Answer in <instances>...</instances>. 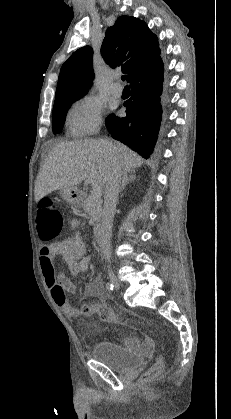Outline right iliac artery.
<instances>
[{
	"label": "right iliac artery",
	"instance_id": "1",
	"mask_svg": "<svg viewBox=\"0 0 231 419\" xmlns=\"http://www.w3.org/2000/svg\"><path fill=\"white\" fill-rule=\"evenodd\" d=\"M106 289L109 290V291H113L114 285L112 283H107L106 284Z\"/></svg>",
	"mask_w": 231,
	"mask_h": 419
}]
</instances>
